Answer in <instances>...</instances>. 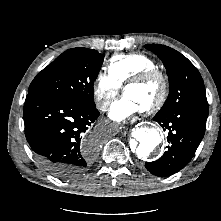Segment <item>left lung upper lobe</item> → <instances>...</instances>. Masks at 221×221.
<instances>
[{"label": "left lung upper lobe", "instance_id": "1", "mask_svg": "<svg viewBox=\"0 0 221 221\" xmlns=\"http://www.w3.org/2000/svg\"><path fill=\"white\" fill-rule=\"evenodd\" d=\"M145 48L154 52L162 60L169 78V95L163 107L158 111V115L178 110L186 105L208 109L202 77L185 56L160 44H148Z\"/></svg>", "mask_w": 221, "mask_h": 221}]
</instances>
